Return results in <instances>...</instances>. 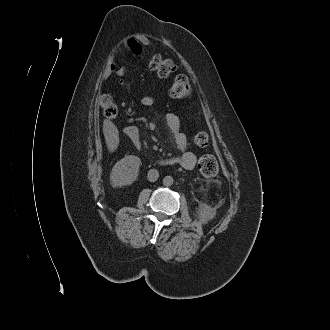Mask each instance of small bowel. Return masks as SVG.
Wrapping results in <instances>:
<instances>
[{
	"label": "small bowel",
	"mask_w": 330,
	"mask_h": 330,
	"mask_svg": "<svg viewBox=\"0 0 330 330\" xmlns=\"http://www.w3.org/2000/svg\"><path fill=\"white\" fill-rule=\"evenodd\" d=\"M124 46L134 55L139 56L142 52V47L134 38H129L124 42ZM107 72L109 74L116 73L119 76H124L130 72V70L126 67H117L115 55H112L109 58L107 64ZM121 84H124L123 80L120 81ZM142 104L145 106H151L153 104V98L146 96L142 99ZM166 124L169 128L170 132L173 135L175 144L177 148L180 150V154L178 156L173 157L171 160L175 163H178L184 169L191 170L194 168L196 164V156L188 151L187 149V138L185 134L181 131V124L178 116L175 114H167L166 115Z\"/></svg>",
	"instance_id": "obj_1"
}]
</instances>
